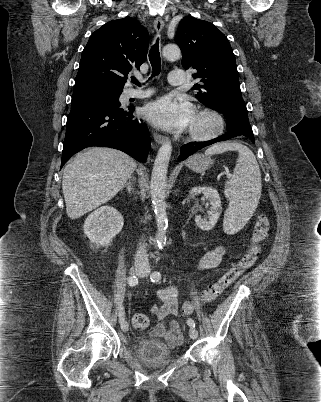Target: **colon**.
<instances>
[{
  "instance_id": "colon-1",
  "label": "colon",
  "mask_w": 321,
  "mask_h": 402,
  "mask_svg": "<svg viewBox=\"0 0 321 402\" xmlns=\"http://www.w3.org/2000/svg\"><path fill=\"white\" fill-rule=\"evenodd\" d=\"M270 222L265 214H260L254 224L253 233L248 247L242 257L233 264L217 281L206 288L200 301L210 303L222 294L233 282L249 270L260 255V246L267 237ZM199 305V301H186L182 305L180 315L185 317L191 314ZM132 323L136 329L144 330L148 326V318L142 313H136L132 317Z\"/></svg>"
}]
</instances>
